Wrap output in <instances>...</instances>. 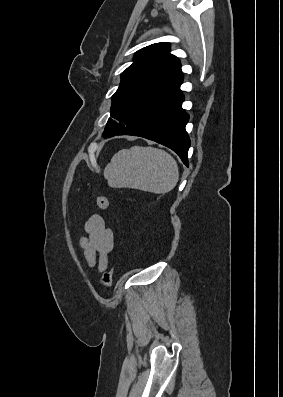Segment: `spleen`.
Here are the masks:
<instances>
[{"label": "spleen", "mask_w": 283, "mask_h": 397, "mask_svg": "<svg viewBox=\"0 0 283 397\" xmlns=\"http://www.w3.org/2000/svg\"><path fill=\"white\" fill-rule=\"evenodd\" d=\"M104 177L114 188H131L166 194L179 180L176 160L165 150L133 146L117 152L107 164Z\"/></svg>", "instance_id": "obj_1"}]
</instances>
